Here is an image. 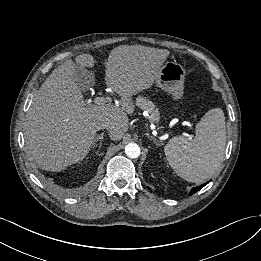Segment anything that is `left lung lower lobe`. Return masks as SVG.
<instances>
[{"label":"left lung lower lobe","instance_id":"obj_1","mask_svg":"<svg viewBox=\"0 0 261 261\" xmlns=\"http://www.w3.org/2000/svg\"><path fill=\"white\" fill-rule=\"evenodd\" d=\"M207 183L203 184V185H200V186H197V187H194L191 189V192H190V195H193L194 193H196L198 190H200L202 187H204Z\"/></svg>","mask_w":261,"mask_h":261}]
</instances>
